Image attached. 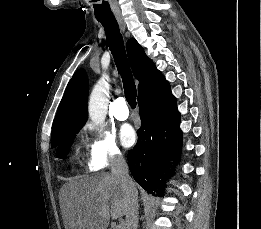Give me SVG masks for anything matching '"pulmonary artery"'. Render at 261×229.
<instances>
[{
	"label": "pulmonary artery",
	"instance_id": "e3ab8cb5",
	"mask_svg": "<svg viewBox=\"0 0 261 229\" xmlns=\"http://www.w3.org/2000/svg\"><path fill=\"white\" fill-rule=\"evenodd\" d=\"M113 114L119 121H125L129 118V109L124 98L120 97L113 103Z\"/></svg>",
	"mask_w": 261,
	"mask_h": 229
}]
</instances>
